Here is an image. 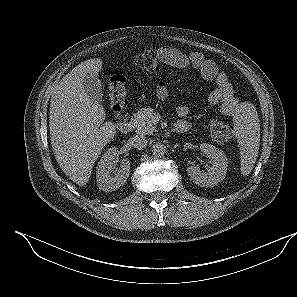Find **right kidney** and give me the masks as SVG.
Wrapping results in <instances>:
<instances>
[{
    "label": "right kidney",
    "mask_w": 297,
    "mask_h": 297,
    "mask_svg": "<svg viewBox=\"0 0 297 297\" xmlns=\"http://www.w3.org/2000/svg\"><path fill=\"white\" fill-rule=\"evenodd\" d=\"M117 152L116 147L109 148L98 162L96 171L97 186L105 192L119 189L129 176L130 161L128 159H122L120 167L116 168Z\"/></svg>",
    "instance_id": "1"
}]
</instances>
